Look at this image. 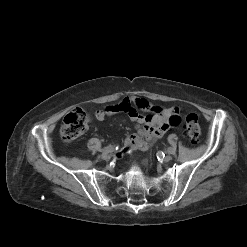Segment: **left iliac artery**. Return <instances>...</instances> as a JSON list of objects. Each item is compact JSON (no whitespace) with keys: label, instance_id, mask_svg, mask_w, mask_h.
Wrapping results in <instances>:
<instances>
[{"label":"left iliac artery","instance_id":"obj_1","mask_svg":"<svg viewBox=\"0 0 247 247\" xmlns=\"http://www.w3.org/2000/svg\"><path fill=\"white\" fill-rule=\"evenodd\" d=\"M168 153L170 154H174L175 153V149L174 148H168Z\"/></svg>","mask_w":247,"mask_h":247}]
</instances>
